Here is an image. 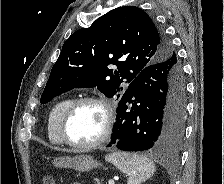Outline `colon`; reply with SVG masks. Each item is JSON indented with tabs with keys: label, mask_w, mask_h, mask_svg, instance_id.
Masks as SVG:
<instances>
[{
	"label": "colon",
	"mask_w": 224,
	"mask_h": 184,
	"mask_svg": "<svg viewBox=\"0 0 224 184\" xmlns=\"http://www.w3.org/2000/svg\"><path fill=\"white\" fill-rule=\"evenodd\" d=\"M42 184H55V182L51 176H46L43 178Z\"/></svg>",
	"instance_id": "5ec220e1"
}]
</instances>
